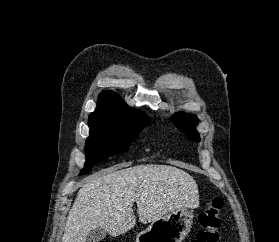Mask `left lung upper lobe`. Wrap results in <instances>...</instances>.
Masks as SVG:
<instances>
[{
	"mask_svg": "<svg viewBox=\"0 0 279 242\" xmlns=\"http://www.w3.org/2000/svg\"><path fill=\"white\" fill-rule=\"evenodd\" d=\"M173 120L177 128L185 134H188L193 139L199 141L200 138L195 130V125L198 123L197 117L179 112L173 116Z\"/></svg>",
	"mask_w": 279,
	"mask_h": 242,
	"instance_id": "obj_1",
	"label": "left lung upper lobe"
}]
</instances>
